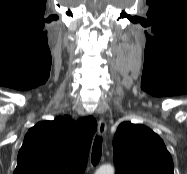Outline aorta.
I'll list each match as a JSON object with an SVG mask.
<instances>
[{
  "label": "aorta",
  "instance_id": "obj_1",
  "mask_svg": "<svg viewBox=\"0 0 187 174\" xmlns=\"http://www.w3.org/2000/svg\"><path fill=\"white\" fill-rule=\"evenodd\" d=\"M95 174H114V168L111 165L101 166Z\"/></svg>",
  "mask_w": 187,
  "mask_h": 174
}]
</instances>
